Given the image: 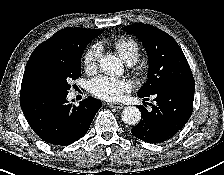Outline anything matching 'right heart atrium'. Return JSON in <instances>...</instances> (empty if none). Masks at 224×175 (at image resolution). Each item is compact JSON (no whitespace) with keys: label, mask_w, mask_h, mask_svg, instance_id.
<instances>
[{"label":"right heart atrium","mask_w":224,"mask_h":175,"mask_svg":"<svg viewBox=\"0 0 224 175\" xmlns=\"http://www.w3.org/2000/svg\"><path fill=\"white\" fill-rule=\"evenodd\" d=\"M102 49L100 45L94 44L90 46L83 57V66L86 72L94 73L99 65Z\"/></svg>","instance_id":"d8ad5b80"}]
</instances>
